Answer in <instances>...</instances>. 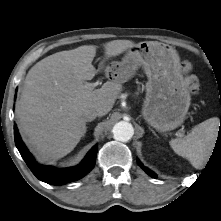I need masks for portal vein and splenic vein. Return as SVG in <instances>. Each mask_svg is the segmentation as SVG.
Segmentation results:
<instances>
[{"mask_svg":"<svg viewBox=\"0 0 221 221\" xmlns=\"http://www.w3.org/2000/svg\"><path fill=\"white\" fill-rule=\"evenodd\" d=\"M89 86H91V87H96L97 86V84L96 83H89Z\"/></svg>","mask_w":221,"mask_h":221,"instance_id":"portal-vein-and-splenic-vein-1","label":"portal vein and splenic vein"}]
</instances>
